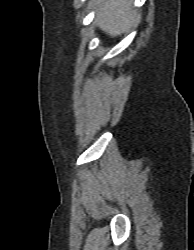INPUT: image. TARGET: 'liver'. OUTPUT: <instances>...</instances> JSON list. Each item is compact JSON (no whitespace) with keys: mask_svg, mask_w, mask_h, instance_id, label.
<instances>
[{"mask_svg":"<svg viewBox=\"0 0 194 250\" xmlns=\"http://www.w3.org/2000/svg\"><path fill=\"white\" fill-rule=\"evenodd\" d=\"M132 0H96L99 7L97 26L111 37L122 35L138 18L136 10L132 9Z\"/></svg>","mask_w":194,"mask_h":250,"instance_id":"liver-1","label":"liver"}]
</instances>
